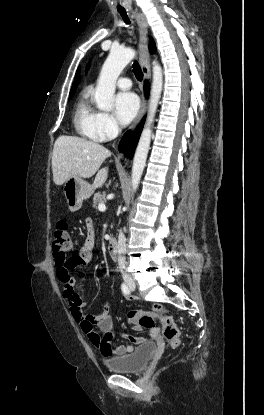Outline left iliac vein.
Here are the masks:
<instances>
[{
    "mask_svg": "<svg viewBox=\"0 0 264 415\" xmlns=\"http://www.w3.org/2000/svg\"><path fill=\"white\" fill-rule=\"evenodd\" d=\"M134 289H135V286L133 285V286H130V290L131 291H134Z\"/></svg>",
    "mask_w": 264,
    "mask_h": 415,
    "instance_id": "obj_1",
    "label": "left iliac vein"
}]
</instances>
